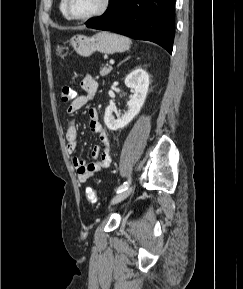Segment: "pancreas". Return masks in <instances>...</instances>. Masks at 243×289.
<instances>
[{
  "label": "pancreas",
  "instance_id": "cf45deb5",
  "mask_svg": "<svg viewBox=\"0 0 243 289\" xmlns=\"http://www.w3.org/2000/svg\"><path fill=\"white\" fill-rule=\"evenodd\" d=\"M111 70H112V67L109 66V65H106V66H104V67H101V69H100V75L105 76V75L109 74Z\"/></svg>",
  "mask_w": 243,
  "mask_h": 289
}]
</instances>
